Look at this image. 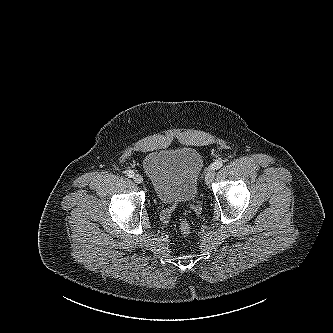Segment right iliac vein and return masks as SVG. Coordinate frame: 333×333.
<instances>
[{"instance_id":"1","label":"right iliac vein","mask_w":333,"mask_h":333,"mask_svg":"<svg viewBox=\"0 0 333 333\" xmlns=\"http://www.w3.org/2000/svg\"><path fill=\"white\" fill-rule=\"evenodd\" d=\"M133 180L135 183L141 184L143 182V177L140 174H135Z\"/></svg>"}]
</instances>
